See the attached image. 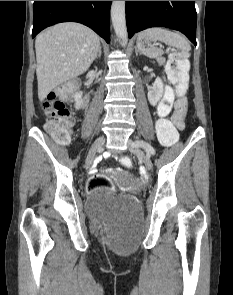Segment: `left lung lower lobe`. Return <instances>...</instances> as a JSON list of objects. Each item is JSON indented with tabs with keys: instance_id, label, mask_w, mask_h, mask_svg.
<instances>
[{
	"instance_id": "obj_1",
	"label": "left lung lower lobe",
	"mask_w": 233,
	"mask_h": 295,
	"mask_svg": "<svg viewBox=\"0 0 233 295\" xmlns=\"http://www.w3.org/2000/svg\"><path fill=\"white\" fill-rule=\"evenodd\" d=\"M194 1H126L129 37L150 27H167L184 33L196 46Z\"/></svg>"
}]
</instances>
